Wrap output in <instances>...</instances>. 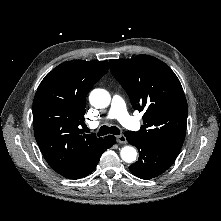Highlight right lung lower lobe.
Here are the masks:
<instances>
[{"mask_svg":"<svg viewBox=\"0 0 221 221\" xmlns=\"http://www.w3.org/2000/svg\"><path fill=\"white\" fill-rule=\"evenodd\" d=\"M115 142L116 138L114 136H106L103 139L101 146L83 162L81 167L77 169L76 172L69 176H66V178L79 179L90 174L96 168L103 152L112 147Z\"/></svg>","mask_w":221,"mask_h":221,"instance_id":"1","label":"right lung lower lobe"}]
</instances>
